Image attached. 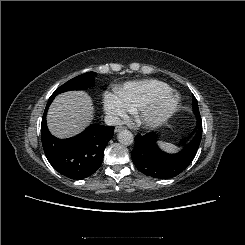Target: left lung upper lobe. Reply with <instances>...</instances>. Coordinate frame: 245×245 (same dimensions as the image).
<instances>
[{"mask_svg":"<svg viewBox=\"0 0 245 245\" xmlns=\"http://www.w3.org/2000/svg\"><path fill=\"white\" fill-rule=\"evenodd\" d=\"M193 109H194V113H195L196 118H197L198 126L201 128L202 122H201L200 112H199V108H198V102H197L196 98L194 97V95H193Z\"/></svg>","mask_w":245,"mask_h":245,"instance_id":"obj_1","label":"left lung upper lobe"}]
</instances>
